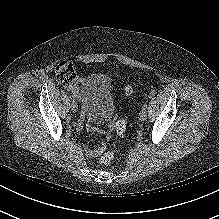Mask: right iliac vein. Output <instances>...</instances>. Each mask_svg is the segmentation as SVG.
Here are the masks:
<instances>
[{
    "mask_svg": "<svg viewBox=\"0 0 219 219\" xmlns=\"http://www.w3.org/2000/svg\"><path fill=\"white\" fill-rule=\"evenodd\" d=\"M71 110L74 113L78 111V105H77L76 101H72V103H71Z\"/></svg>",
    "mask_w": 219,
    "mask_h": 219,
    "instance_id": "obj_1",
    "label": "right iliac vein"
}]
</instances>
